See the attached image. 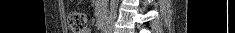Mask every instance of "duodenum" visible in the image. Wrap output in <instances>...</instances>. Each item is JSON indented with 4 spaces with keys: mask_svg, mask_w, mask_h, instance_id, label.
Returning a JSON list of instances; mask_svg holds the SVG:
<instances>
[{
    "mask_svg": "<svg viewBox=\"0 0 235 33\" xmlns=\"http://www.w3.org/2000/svg\"><path fill=\"white\" fill-rule=\"evenodd\" d=\"M106 27H107V23L102 22V23H101V29H102L103 32H105Z\"/></svg>",
    "mask_w": 235,
    "mask_h": 33,
    "instance_id": "duodenum-1",
    "label": "duodenum"
}]
</instances>
